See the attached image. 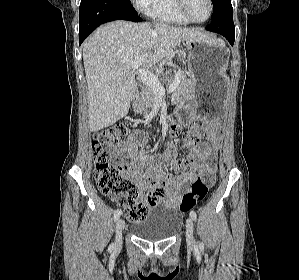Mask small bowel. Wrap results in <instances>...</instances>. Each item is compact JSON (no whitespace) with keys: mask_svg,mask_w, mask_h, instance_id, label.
Segmentation results:
<instances>
[{"mask_svg":"<svg viewBox=\"0 0 299 280\" xmlns=\"http://www.w3.org/2000/svg\"><path fill=\"white\" fill-rule=\"evenodd\" d=\"M171 132L177 135L180 125L172 122ZM221 125L217 120L204 121L200 125V133L196 151L191 154V167L178 176H170L164 169L174 159L175 151L170 149L164 156L152 155L150 146L141 137L128 140L114 148V152L123 158L133 160V165L126 163L127 174L147 190L148 207L161 204L167 208H178L184 196L191 190V185L203 178L211 185L217 173V150L220 146ZM207 140H202L204 135Z\"/></svg>","mask_w":299,"mask_h":280,"instance_id":"c3829d8e","label":"small bowel"}]
</instances>
